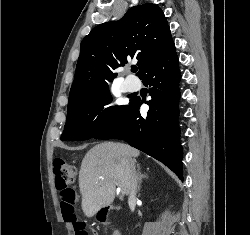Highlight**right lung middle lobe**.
I'll use <instances>...</instances> for the list:
<instances>
[{"instance_id": "dd1d6c3e", "label": "right lung middle lobe", "mask_w": 250, "mask_h": 235, "mask_svg": "<svg viewBox=\"0 0 250 235\" xmlns=\"http://www.w3.org/2000/svg\"><path fill=\"white\" fill-rule=\"evenodd\" d=\"M112 97L108 86L89 92L68 103L67 120L62 141L95 138L127 107L109 106Z\"/></svg>"}]
</instances>
